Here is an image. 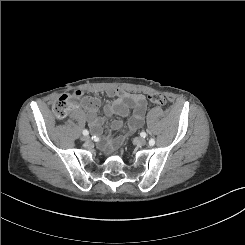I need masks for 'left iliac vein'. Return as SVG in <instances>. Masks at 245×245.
Instances as JSON below:
<instances>
[{"label":"left iliac vein","mask_w":245,"mask_h":245,"mask_svg":"<svg viewBox=\"0 0 245 245\" xmlns=\"http://www.w3.org/2000/svg\"><path fill=\"white\" fill-rule=\"evenodd\" d=\"M135 142L138 146H144L147 143L146 139L144 138H136Z\"/></svg>","instance_id":"1"}]
</instances>
